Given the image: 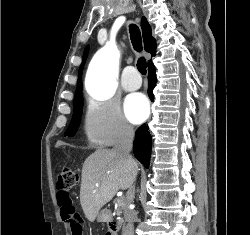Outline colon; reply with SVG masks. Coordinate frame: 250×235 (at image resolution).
<instances>
[{
  "mask_svg": "<svg viewBox=\"0 0 250 235\" xmlns=\"http://www.w3.org/2000/svg\"><path fill=\"white\" fill-rule=\"evenodd\" d=\"M79 181L78 173L68 167L61 166L58 171L57 180V201L61 209V215L67 224H69L73 235H83L84 227L79 213L72 203L69 190L77 185Z\"/></svg>",
  "mask_w": 250,
  "mask_h": 235,
  "instance_id": "1",
  "label": "colon"
}]
</instances>
